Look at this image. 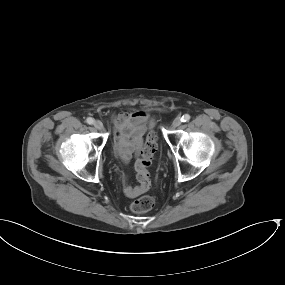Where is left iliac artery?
I'll return each instance as SVG.
<instances>
[{"label": "left iliac artery", "instance_id": "1", "mask_svg": "<svg viewBox=\"0 0 285 285\" xmlns=\"http://www.w3.org/2000/svg\"><path fill=\"white\" fill-rule=\"evenodd\" d=\"M181 120H182V122H188L190 120V115L189 114L183 115Z\"/></svg>", "mask_w": 285, "mask_h": 285}]
</instances>
